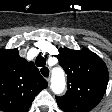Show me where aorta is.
I'll return each instance as SVG.
<instances>
[{"instance_id":"aorta-1","label":"aorta","mask_w":112,"mask_h":112,"mask_svg":"<svg viewBox=\"0 0 112 112\" xmlns=\"http://www.w3.org/2000/svg\"><path fill=\"white\" fill-rule=\"evenodd\" d=\"M66 87L65 75L62 69L53 70L51 79V89L55 94H61Z\"/></svg>"}]
</instances>
